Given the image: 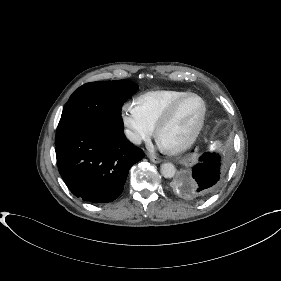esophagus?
Wrapping results in <instances>:
<instances>
[{
    "label": "esophagus",
    "mask_w": 281,
    "mask_h": 281,
    "mask_svg": "<svg viewBox=\"0 0 281 281\" xmlns=\"http://www.w3.org/2000/svg\"><path fill=\"white\" fill-rule=\"evenodd\" d=\"M149 158L154 163H160L162 161L159 157H157L155 155H149Z\"/></svg>",
    "instance_id": "1"
}]
</instances>
